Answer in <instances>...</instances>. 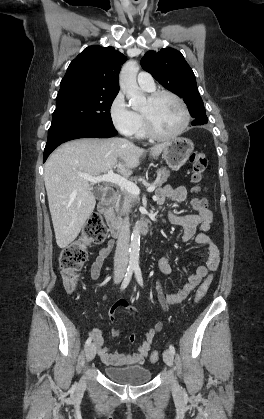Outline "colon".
Segmentation results:
<instances>
[{
    "mask_svg": "<svg viewBox=\"0 0 264 419\" xmlns=\"http://www.w3.org/2000/svg\"><path fill=\"white\" fill-rule=\"evenodd\" d=\"M193 171V181L197 184L196 190L199 191L203 175L207 169V158L204 153L194 151L190 158ZM194 206L199 211L207 208V203L204 199H196ZM106 226L103 217L100 214H93L83 227L81 236L78 240L73 241L66 246L60 253L59 265L63 278L64 285L69 292L76 289L77 286V272L82 268L87 260L86 245L90 243L99 244L106 238ZM211 283V276L207 277L200 285L196 293V301H200L206 294ZM159 359V353L153 351L150 355V361L156 362Z\"/></svg>",
    "mask_w": 264,
    "mask_h": 419,
    "instance_id": "1",
    "label": "colon"
}]
</instances>
